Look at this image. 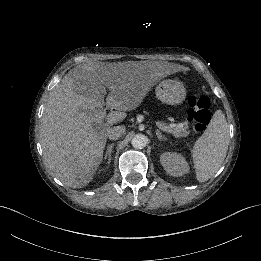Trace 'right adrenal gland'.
Listing matches in <instances>:
<instances>
[{
	"instance_id": "obj_1",
	"label": "right adrenal gland",
	"mask_w": 261,
	"mask_h": 261,
	"mask_svg": "<svg viewBox=\"0 0 261 261\" xmlns=\"http://www.w3.org/2000/svg\"><path fill=\"white\" fill-rule=\"evenodd\" d=\"M114 147V144H110L108 145L107 147V152L105 154V157H104V160L108 159V165L111 164V161H112V148Z\"/></svg>"
}]
</instances>
